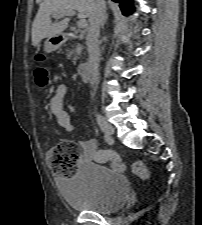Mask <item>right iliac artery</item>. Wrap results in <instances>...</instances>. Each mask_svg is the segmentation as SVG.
I'll return each instance as SVG.
<instances>
[{
	"instance_id": "82829eb1",
	"label": "right iliac artery",
	"mask_w": 202,
	"mask_h": 225,
	"mask_svg": "<svg viewBox=\"0 0 202 225\" xmlns=\"http://www.w3.org/2000/svg\"><path fill=\"white\" fill-rule=\"evenodd\" d=\"M104 140H105V142H107L108 144H112V143H113V139H112L111 137L104 136Z\"/></svg>"
}]
</instances>
